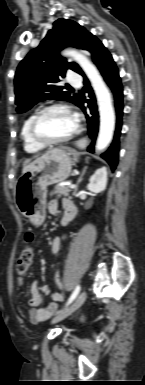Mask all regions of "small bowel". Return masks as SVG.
I'll return each mask as SVG.
<instances>
[{"label":"small bowel","instance_id":"1","mask_svg":"<svg viewBox=\"0 0 145 385\" xmlns=\"http://www.w3.org/2000/svg\"><path fill=\"white\" fill-rule=\"evenodd\" d=\"M63 209L64 215L67 210L72 211L73 217L76 215V207L72 201L68 199L59 202L55 199L48 203V212L52 215L59 213L60 209ZM61 242L58 236H55L51 243V251L57 253L60 250ZM57 285L63 288V281L59 274L55 276ZM42 294L49 295L52 302L44 308H39L42 302ZM65 296L60 292H52L50 288L43 284L40 279L35 280L30 287V298L28 301L27 311L30 321L32 323H39L45 321L56 309L58 302H63ZM84 320V318H82Z\"/></svg>","mask_w":145,"mask_h":385}]
</instances>
